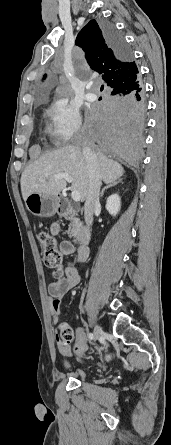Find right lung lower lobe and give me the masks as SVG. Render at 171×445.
<instances>
[{
	"label": "right lung lower lobe",
	"mask_w": 171,
	"mask_h": 445,
	"mask_svg": "<svg viewBox=\"0 0 171 445\" xmlns=\"http://www.w3.org/2000/svg\"><path fill=\"white\" fill-rule=\"evenodd\" d=\"M110 48L122 60L130 50L110 23H100ZM145 125V96L141 80L110 93L86 116L84 133L92 147L119 161L137 164L141 160Z\"/></svg>",
	"instance_id": "1"
}]
</instances>
